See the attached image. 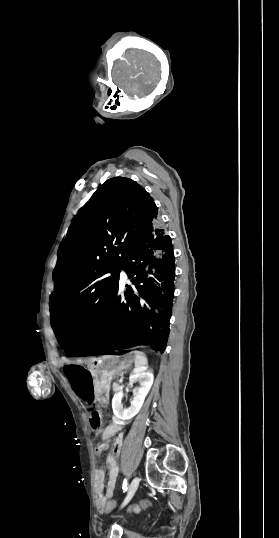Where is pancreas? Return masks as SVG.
I'll return each instance as SVG.
<instances>
[{
    "label": "pancreas",
    "instance_id": "obj_1",
    "mask_svg": "<svg viewBox=\"0 0 279 538\" xmlns=\"http://www.w3.org/2000/svg\"><path fill=\"white\" fill-rule=\"evenodd\" d=\"M112 385H114L116 389H119L121 387V384L117 380H112Z\"/></svg>",
    "mask_w": 279,
    "mask_h": 538
}]
</instances>
